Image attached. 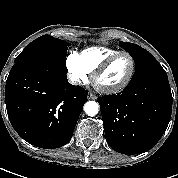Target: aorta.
<instances>
[{
  "label": "aorta",
  "instance_id": "obj_1",
  "mask_svg": "<svg viewBox=\"0 0 178 178\" xmlns=\"http://www.w3.org/2000/svg\"><path fill=\"white\" fill-rule=\"evenodd\" d=\"M99 105L95 101H88L84 105V111L88 116H95L98 113Z\"/></svg>",
  "mask_w": 178,
  "mask_h": 178
}]
</instances>
